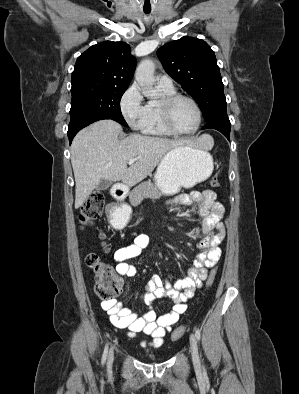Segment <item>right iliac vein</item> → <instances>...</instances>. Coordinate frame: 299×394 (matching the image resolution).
Here are the masks:
<instances>
[{"instance_id":"1","label":"right iliac vein","mask_w":299,"mask_h":394,"mask_svg":"<svg viewBox=\"0 0 299 394\" xmlns=\"http://www.w3.org/2000/svg\"><path fill=\"white\" fill-rule=\"evenodd\" d=\"M113 360H114V352L113 350L110 351L109 356H108V367H111L113 364Z\"/></svg>"}]
</instances>
